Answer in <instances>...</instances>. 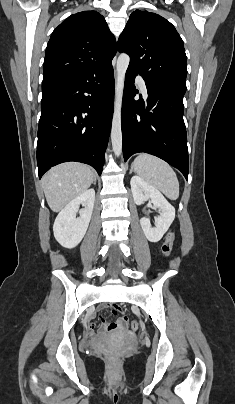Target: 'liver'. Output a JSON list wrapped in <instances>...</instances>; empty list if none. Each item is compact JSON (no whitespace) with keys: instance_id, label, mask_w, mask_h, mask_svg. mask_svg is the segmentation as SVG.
<instances>
[{"instance_id":"liver-1","label":"liver","mask_w":235,"mask_h":404,"mask_svg":"<svg viewBox=\"0 0 235 404\" xmlns=\"http://www.w3.org/2000/svg\"><path fill=\"white\" fill-rule=\"evenodd\" d=\"M91 168L78 162H66L51 168L42 178V187L50 209L59 212L93 183Z\"/></svg>"}]
</instances>
